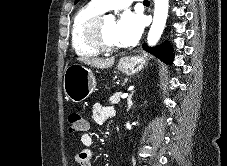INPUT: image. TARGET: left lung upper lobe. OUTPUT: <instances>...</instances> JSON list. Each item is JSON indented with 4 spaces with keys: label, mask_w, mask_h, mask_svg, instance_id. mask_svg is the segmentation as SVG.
<instances>
[{
    "label": "left lung upper lobe",
    "mask_w": 227,
    "mask_h": 166,
    "mask_svg": "<svg viewBox=\"0 0 227 166\" xmlns=\"http://www.w3.org/2000/svg\"><path fill=\"white\" fill-rule=\"evenodd\" d=\"M79 0H75V3H77Z\"/></svg>",
    "instance_id": "obj_1"
}]
</instances>
